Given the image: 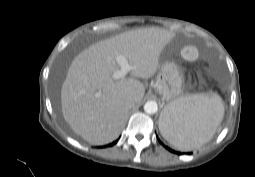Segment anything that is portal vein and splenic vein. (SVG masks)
Returning <instances> with one entry per match:
<instances>
[{
	"instance_id": "portal-vein-and-splenic-vein-1",
	"label": "portal vein and splenic vein",
	"mask_w": 255,
	"mask_h": 177,
	"mask_svg": "<svg viewBox=\"0 0 255 177\" xmlns=\"http://www.w3.org/2000/svg\"><path fill=\"white\" fill-rule=\"evenodd\" d=\"M116 62L120 66V69L113 74L114 79L124 78L128 72L132 70V66L129 64L128 60L123 55H118L116 57Z\"/></svg>"
}]
</instances>
